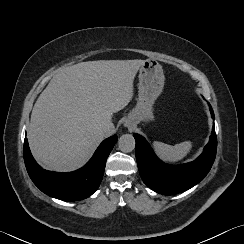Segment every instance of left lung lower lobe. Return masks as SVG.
<instances>
[{
    "label": "left lung lower lobe",
    "mask_w": 244,
    "mask_h": 244,
    "mask_svg": "<svg viewBox=\"0 0 244 244\" xmlns=\"http://www.w3.org/2000/svg\"><path fill=\"white\" fill-rule=\"evenodd\" d=\"M210 112L214 118L213 110L210 109ZM133 136L136 140V160L142 180L149 188L163 195L185 192L195 186L207 175L215 160L217 149L215 127L203 153L195 161L181 165L163 163L144 137L139 134Z\"/></svg>",
    "instance_id": "left-lung-lower-lobe-1"
}]
</instances>
